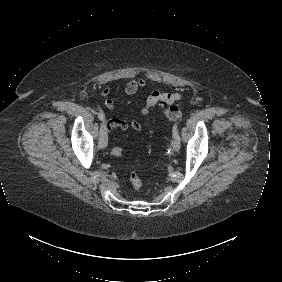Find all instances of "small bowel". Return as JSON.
Returning a JSON list of instances; mask_svg holds the SVG:
<instances>
[{"mask_svg": "<svg viewBox=\"0 0 282 282\" xmlns=\"http://www.w3.org/2000/svg\"><path fill=\"white\" fill-rule=\"evenodd\" d=\"M147 84L146 78H140V79H131L129 80L124 88V91L126 95L130 97V99L127 101V105H131L134 101V97L138 93V91L143 88ZM113 87L112 86H106L101 90V95L106 97L108 96ZM181 99V94L179 93H170V92H164V91H153L146 99L145 104L143 108L141 109V116L146 117L150 111L161 105H170L175 106V103ZM104 106L110 110H115V105L112 100L106 99L104 101ZM129 128H132L135 131L142 130V125L137 120H131L127 121L121 117L115 116L111 118L107 125L106 129L108 131H111L112 129H120L121 131H126Z\"/></svg>", "mask_w": 282, "mask_h": 282, "instance_id": "obj_1", "label": "small bowel"}]
</instances>
